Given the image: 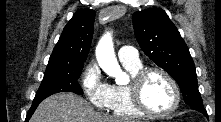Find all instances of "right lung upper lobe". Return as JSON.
<instances>
[{
    "label": "right lung upper lobe",
    "instance_id": "obj_1",
    "mask_svg": "<svg viewBox=\"0 0 221 122\" xmlns=\"http://www.w3.org/2000/svg\"><path fill=\"white\" fill-rule=\"evenodd\" d=\"M95 11H77L65 26L48 64H81L86 60L93 36Z\"/></svg>",
    "mask_w": 221,
    "mask_h": 122
}]
</instances>
